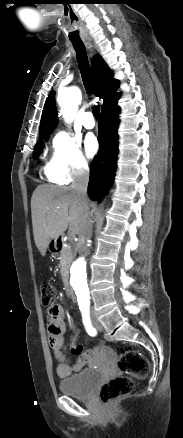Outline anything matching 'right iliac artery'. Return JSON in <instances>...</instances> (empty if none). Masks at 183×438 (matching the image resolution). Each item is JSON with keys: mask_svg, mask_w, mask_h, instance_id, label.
Masks as SVG:
<instances>
[{"mask_svg": "<svg viewBox=\"0 0 183 438\" xmlns=\"http://www.w3.org/2000/svg\"><path fill=\"white\" fill-rule=\"evenodd\" d=\"M81 313H82L83 324L85 326L87 333L90 336H95L97 334V332H96V329L91 324L89 309L88 308L81 309Z\"/></svg>", "mask_w": 183, "mask_h": 438, "instance_id": "obj_1", "label": "right iliac artery"}]
</instances>
